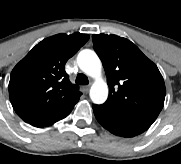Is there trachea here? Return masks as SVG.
Listing matches in <instances>:
<instances>
[{"instance_id":"obj_1","label":"trachea","mask_w":181,"mask_h":164,"mask_svg":"<svg viewBox=\"0 0 181 164\" xmlns=\"http://www.w3.org/2000/svg\"><path fill=\"white\" fill-rule=\"evenodd\" d=\"M75 82L80 85H86L89 83L87 76L82 73L77 75Z\"/></svg>"}]
</instances>
